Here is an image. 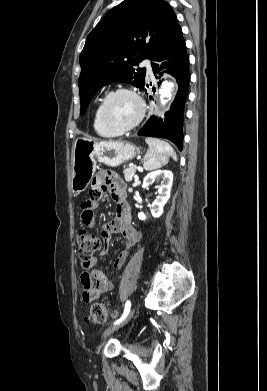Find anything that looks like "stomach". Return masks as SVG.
I'll return each mask as SVG.
<instances>
[{"label":"stomach","instance_id":"obj_1","mask_svg":"<svg viewBox=\"0 0 267 391\" xmlns=\"http://www.w3.org/2000/svg\"><path fill=\"white\" fill-rule=\"evenodd\" d=\"M139 153L140 149L129 142L76 139L72 149V193L79 195L88 187L96 171L97 162L117 167L132 160Z\"/></svg>","mask_w":267,"mask_h":391}]
</instances>
